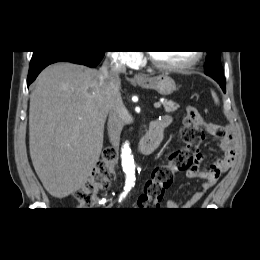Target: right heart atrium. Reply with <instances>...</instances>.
<instances>
[{"mask_svg":"<svg viewBox=\"0 0 260 260\" xmlns=\"http://www.w3.org/2000/svg\"><path fill=\"white\" fill-rule=\"evenodd\" d=\"M115 59L124 65L135 66L142 60V55L137 51H121L115 53Z\"/></svg>","mask_w":260,"mask_h":260,"instance_id":"right-heart-atrium-1","label":"right heart atrium"}]
</instances>
